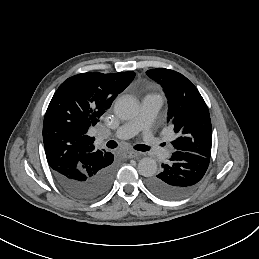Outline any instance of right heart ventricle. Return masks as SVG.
Wrapping results in <instances>:
<instances>
[{"label":"right heart ventricle","mask_w":259,"mask_h":259,"mask_svg":"<svg viewBox=\"0 0 259 259\" xmlns=\"http://www.w3.org/2000/svg\"><path fill=\"white\" fill-rule=\"evenodd\" d=\"M161 94V91L158 88H152L146 92V96Z\"/></svg>","instance_id":"obj_1"}]
</instances>
